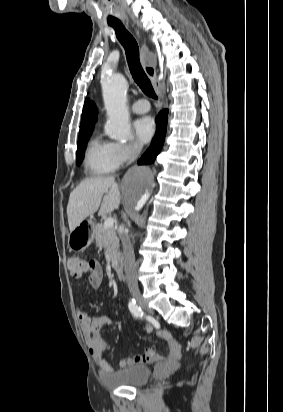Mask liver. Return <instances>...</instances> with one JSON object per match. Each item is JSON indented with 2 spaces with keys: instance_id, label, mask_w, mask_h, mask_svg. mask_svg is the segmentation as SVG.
I'll list each match as a JSON object with an SVG mask.
<instances>
[{
  "instance_id": "1",
  "label": "liver",
  "mask_w": 283,
  "mask_h": 412,
  "mask_svg": "<svg viewBox=\"0 0 283 412\" xmlns=\"http://www.w3.org/2000/svg\"><path fill=\"white\" fill-rule=\"evenodd\" d=\"M120 205V191L114 177L85 179L70 193L67 216L70 232L98 210L100 216Z\"/></svg>"
}]
</instances>
